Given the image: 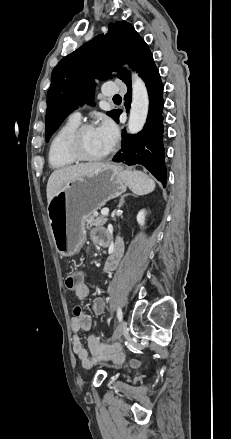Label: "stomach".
<instances>
[{"instance_id": "stomach-1", "label": "stomach", "mask_w": 231, "mask_h": 439, "mask_svg": "<svg viewBox=\"0 0 231 439\" xmlns=\"http://www.w3.org/2000/svg\"><path fill=\"white\" fill-rule=\"evenodd\" d=\"M126 189L124 170L109 163L66 184L47 207L57 252L64 257L77 254L85 240L86 218Z\"/></svg>"}]
</instances>
